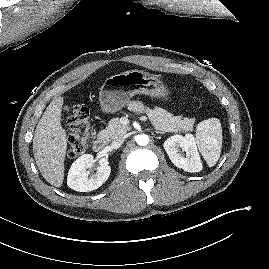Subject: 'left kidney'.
Masks as SVG:
<instances>
[{
    "instance_id": "5707ae66",
    "label": "left kidney",
    "mask_w": 269,
    "mask_h": 269,
    "mask_svg": "<svg viewBox=\"0 0 269 269\" xmlns=\"http://www.w3.org/2000/svg\"><path fill=\"white\" fill-rule=\"evenodd\" d=\"M163 146L176 167L191 173L202 170V163L192 134H186L184 137L181 135L171 136L164 142Z\"/></svg>"
}]
</instances>
